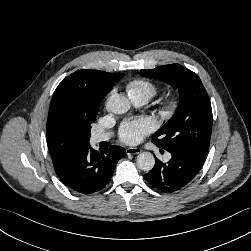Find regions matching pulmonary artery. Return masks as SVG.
<instances>
[{"mask_svg": "<svg viewBox=\"0 0 251 251\" xmlns=\"http://www.w3.org/2000/svg\"><path fill=\"white\" fill-rule=\"evenodd\" d=\"M130 99L135 106H142L146 104L149 100L145 96H130ZM110 137L111 135L108 133H96V134H93L92 141L94 143H100V142L109 140Z\"/></svg>", "mask_w": 251, "mask_h": 251, "instance_id": "e3ab8cb5", "label": "pulmonary artery"}]
</instances>
